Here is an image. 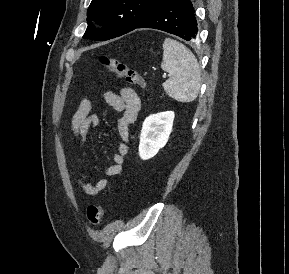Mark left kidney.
I'll use <instances>...</instances> for the list:
<instances>
[{"instance_id": "5707ae66", "label": "left kidney", "mask_w": 289, "mask_h": 274, "mask_svg": "<svg viewBox=\"0 0 289 274\" xmlns=\"http://www.w3.org/2000/svg\"><path fill=\"white\" fill-rule=\"evenodd\" d=\"M174 112L167 111L150 115L143 122L139 156L143 160L154 157L163 148L172 131Z\"/></svg>"}]
</instances>
